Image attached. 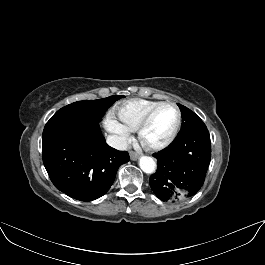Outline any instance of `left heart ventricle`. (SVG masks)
I'll return each instance as SVG.
<instances>
[{
  "label": "left heart ventricle",
  "instance_id": "left-heart-ventricle-1",
  "mask_svg": "<svg viewBox=\"0 0 265 265\" xmlns=\"http://www.w3.org/2000/svg\"><path fill=\"white\" fill-rule=\"evenodd\" d=\"M177 120V113L172 106L160 108L143 132V140L147 144H158L170 134Z\"/></svg>",
  "mask_w": 265,
  "mask_h": 265
}]
</instances>
